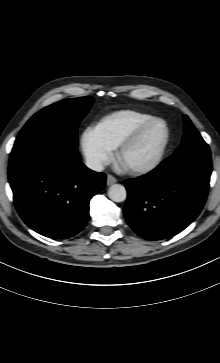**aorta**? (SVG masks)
Returning <instances> with one entry per match:
<instances>
[{
	"instance_id": "aorta-1",
	"label": "aorta",
	"mask_w": 220,
	"mask_h": 363,
	"mask_svg": "<svg viewBox=\"0 0 220 363\" xmlns=\"http://www.w3.org/2000/svg\"><path fill=\"white\" fill-rule=\"evenodd\" d=\"M108 197L114 202H123L127 197L125 187L120 184L111 185L108 189Z\"/></svg>"
}]
</instances>
